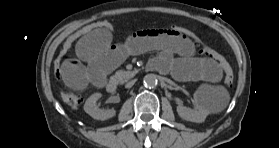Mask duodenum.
I'll list each match as a JSON object with an SVG mask.
<instances>
[{
  "instance_id": "1",
  "label": "duodenum",
  "mask_w": 279,
  "mask_h": 148,
  "mask_svg": "<svg viewBox=\"0 0 279 148\" xmlns=\"http://www.w3.org/2000/svg\"><path fill=\"white\" fill-rule=\"evenodd\" d=\"M118 89V81L117 79H110L107 83V90L109 92H115Z\"/></svg>"
}]
</instances>
